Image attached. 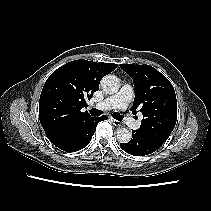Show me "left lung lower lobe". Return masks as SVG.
<instances>
[{"label": "left lung lower lobe", "instance_id": "0a47b994", "mask_svg": "<svg viewBox=\"0 0 211 211\" xmlns=\"http://www.w3.org/2000/svg\"><path fill=\"white\" fill-rule=\"evenodd\" d=\"M132 139L128 143H120V147L134 156H144L153 153L161 145L150 138L132 131Z\"/></svg>", "mask_w": 211, "mask_h": 211}]
</instances>
